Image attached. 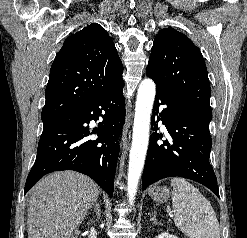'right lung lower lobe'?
Returning a JSON list of instances; mask_svg holds the SVG:
<instances>
[{
  "label": "right lung lower lobe",
  "instance_id": "right-lung-lower-lobe-1",
  "mask_svg": "<svg viewBox=\"0 0 247 238\" xmlns=\"http://www.w3.org/2000/svg\"><path fill=\"white\" fill-rule=\"evenodd\" d=\"M124 81L89 102L69 111L43 127L36 161L27 177L24 195L44 175L53 171L74 170L88 175L110 196L119 137L124 124ZM103 112V114H102ZM103 121L91 130L89 122ZM97 134L96 140L88 137Z\"/></svg>",
  "mask_w": 247,
  "mask_h": 238
}]
</instances>
